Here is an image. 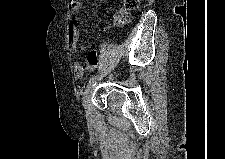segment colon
Returning <instances> with one entry per match:
<instances>
[{"label": "colon", "instance_id": "obj_1", "mask_svg": "<svg viewBox=\"0 0 225 159\" xmlns=\"http://www.w3.org/2000/svg\"><path fill=\"white\" fill-rule=\"evenodd\" d=\"M139 0H124V7L127 11H131L137 8ZM77 3V0H71V4ZM117 22H124V17H118Z\"/></svg>", "mask_w": 225, "mask_h": 159}]
</instances>
